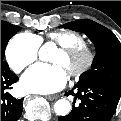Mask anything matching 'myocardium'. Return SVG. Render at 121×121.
<instances>
[{"label": "myocardium", "instance_id": "f54148a6", "mask_svg": "<svg viewBox=\"0 0 121 121\" xmlns=\"http://www.w3.org/2000/svg\"><path fill=\"white\" fill-rule=\"evenodd\" d=\"M73 65L68 74L72 78H80L87 73L95 63V53L84 45L61 46L59 50Z\"/></svg>", "mask_w": 121, "mask_h": 121}]
</instances>
